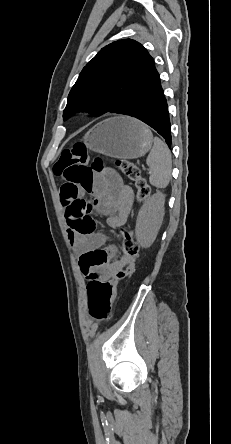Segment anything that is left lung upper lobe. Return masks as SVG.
<instances>
[{
	"label": "left lung upper lobe",
	"instance_id": "5c2ea615",
	"mask_svg": "<svg viewBox=\"0 0 231 444\" xmlns=\"http://www.w3.org/2000/svg\"><path fill=\"white\" fill-rule=\"evenodd\" d=\"M154 66L147 50L131 39L113 42L87 63L72 87L63 118L85 110L117 113Z\"/></svg>",
	"mask_w": 231,
	"mask_h": 444
}]
</instances>
